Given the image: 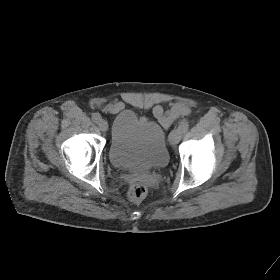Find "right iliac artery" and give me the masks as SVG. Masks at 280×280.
<instances>
[{"instance_id": "1", "label": "right iliac artery", "mask_w": 280, "mask_h": 280, "mask_svg": "<svg viewBox=\"0 0 280 280\" xmlns=\"http://www.w3.org/2000/svg\"><path fill=\"white\" fill-rule=\"evenodd\" d=\"M92 120L95 123H99L102 120V117L99 113L92 114Z\"/></svg>"}]
</instances>
